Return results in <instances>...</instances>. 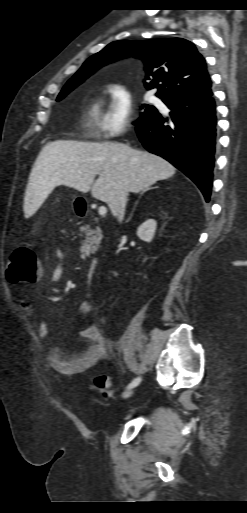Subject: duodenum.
<instances>
[{"instance_id": "1", "label": "duodenum", "mask_w": 247, "mask_h": 513, "mask_svg": "<svg viewBox=\"0 0 247 513\" xmlns=\"http://www.w3.org/2000/svg\"><path fill=\"white\" fill-rule=\"evenodd\" d=\"M76 210L78 213H81L80 215L81 216H84L87 214V204L85 202H79L77 205H76ZM98 265V260L97 259H93L92 262H91V269H95Z\"/></svg>"}]
</instances>
